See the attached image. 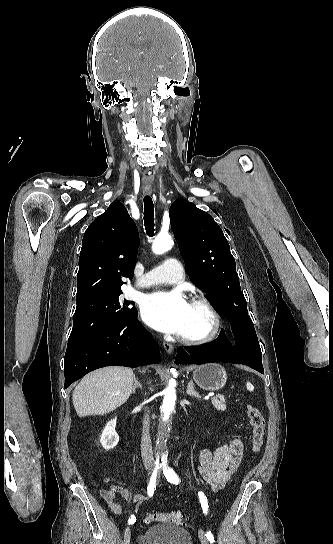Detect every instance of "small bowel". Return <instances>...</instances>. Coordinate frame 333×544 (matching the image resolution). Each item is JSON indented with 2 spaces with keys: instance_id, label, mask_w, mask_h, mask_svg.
Returning a JSON list of instances; mask_svg holds the SVG:
<instances>
[{
  "instance_id": "obj_1",
  "label": "small bowel",
  "mask_w": 333,
  "mask_h": 544,
  "mask_svg": "<svg viewBox=\"0 0 333 544\" xmlns=\"http://www.w3.org/2000/svg\"><path fill=\"white\" fill-rule=\"evenodd\" d=\"M243 456V444L240 439L235 438L221 444L214 450L202 449L199 453V472L203 480L213 491L222 489L232 474L238 468ZM101 497L107 503L109 509L116 515L123 514V508L117 501V496L125 500L137 502L138 510L140 504L149 496L132 492L120 485L112 484L108 489L100 491ZM135 517V515H132Z\"/></svg>"
}]
</instances>
